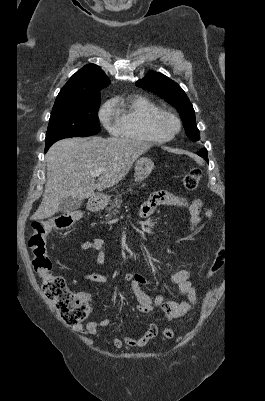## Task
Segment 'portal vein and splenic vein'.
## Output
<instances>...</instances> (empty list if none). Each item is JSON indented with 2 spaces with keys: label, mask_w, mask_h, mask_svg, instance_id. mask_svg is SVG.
<instances>
[{
  "label": "portal vein and splenic vein",
  "mask_w": 265,
  "mask_h": 401,
  "mask_svg": "<svg viewBox=\"0 0 265 401\" xmlns=\"http://www.w3.org/2000/svg\"><path fill=\"white\" fill-rule=\"evenodd\" d=\"M104 172V168H98L96 172H92L93 176H99V174H102Z\"/></svg>",
  "instance_id": "18ae733b"
}]
</instances>
